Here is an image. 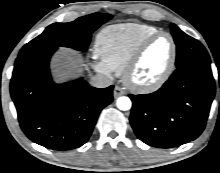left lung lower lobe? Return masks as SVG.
I'll return each mask as SVG.
<instances>
[{
    "label": "left lung lower lobe",
    "mask_w": 220,
    "mask_h": 173,
    "mask_svg": "<svg viewBox=\"0 0 220 173\" xmlns=\"http://www.w3.org/2000/svg\"><path fill=\"white\" fill-rule=\"evenodd\" d=\"M215 95L210 63L176 69L158 91L132 95L130 123L137 137L157 148H173L204 130Z\"/></svg>",
    "instance_id": "obj_1"
}]
</instances>
